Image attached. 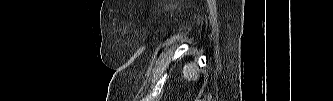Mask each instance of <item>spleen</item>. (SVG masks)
<instances>
[{"mask_svg":"<svg viewBox=\"0 0 333 101\" xmlns=\"http://www.w3.org/2000/svg\"><path fill=\"white\" fill-rule=\"evenodd\" d=\"M199 70L196 67L195 63H188L185 64L184 68H183V74L184 77L188 80V81H196L199 77L198 74Z\"/></svg>","mask_w":333,"mask_h":101,"instance_id":"3e777b00","label":"spleen"}]
</instances>
